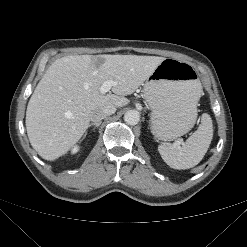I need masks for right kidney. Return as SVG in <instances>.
Masks as SVG:
<instances>
[{
    "instance_id": "right-kidney-1",
    "label": "right kidney",
    "mask_w": 247,
    "mask_h": 247,
    "mask_svg": "<svg viewBox=\"0 0 247 247\" xmlns=\"http://www.w3.org/2000/svg\"><path fill=\"white\" fill-rule=\"evenodd\" d=\"M78 152V146H75L73 149H72V153H76Z\"/></svg>"
}]
</instances>
